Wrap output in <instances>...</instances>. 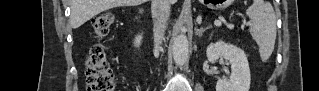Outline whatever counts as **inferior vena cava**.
<instances>
[{
	"instance_id": "602c4592",
	"label": "inferior vena cava",
	"mask_w": 319,
	"mask_h": 91,
	"mask_svg": "<svg viewBox=\"0 0 319 91\" xmlns=\"http://www.w3.org/2000/svg\"><path fill=\"white\" fill-rule=\"evenodd\" d=\"M169 15L170 0H152L154 46L156 49L162 43Z\"/></svg>"
}]
</instances>
